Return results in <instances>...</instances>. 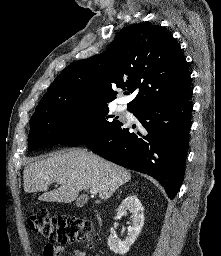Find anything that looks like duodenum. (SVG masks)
I'll list each match as a JSON object with an SVG mask.
<instances>
[{
	"label": "duodenum",
	"instance_id": "410a0bca",
	"mask_svg": "<svg viewBox=\"0 0 221 256\" xmlns=\"http://www.w3.org/2000/svg\"><path fill=\"white\" fill-rule=\"evenodd\" d=\"M97 219H98L99 224L101 225V218H100V216H97Z\"/></svg>",
	"mask_w": 221,
	"mask_h": 256
}]
</instances>
